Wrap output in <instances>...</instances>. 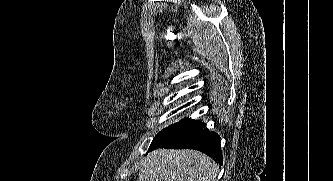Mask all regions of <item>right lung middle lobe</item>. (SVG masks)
<instances>
[{"label": "right lung middle lobe", "instance_id": "dd1d6c3e", "mask_svg": "<svg viewBox=\"0 0 333 181\" xmlns=\"http://www.w3.org/2000/svg\"><path fill=\"white\" fill-rule=\"evenodd\" d=\"M201 122L195 121L191 119H183L178 123L172 124L169 127H166L162 131H160L153 139L150 148L156 147L159 145H167L171 144L174 141L178 140L191 130H193L196 126H198Z\"/></svg>", "mask_w": 333, "mask_h": 181}]
</instances>
